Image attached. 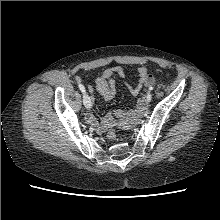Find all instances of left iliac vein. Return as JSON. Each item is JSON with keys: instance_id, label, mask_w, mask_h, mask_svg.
Segmentation results:
<instances>
[{"instance_id": "obj_1", "label": "left iliac vein", "mask_w": 220, "mask_h": 220, "mask_svg": "<svg viewBox=\"0 0 220 220\" xmlns=\"http://www.w3.org/2000/svg\"><path fill=\"white\" fill-rule=\"evenodd\" d=\"M149 99H152L151 93H148V94H147V102L151 101V100H149Z\"/></svg>"}]
</instances>
